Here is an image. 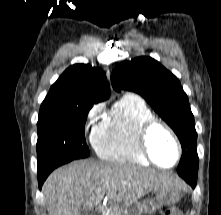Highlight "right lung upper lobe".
Instances as JSON below:
<instances>
[{
    "instance_id": "cb5924a9",
    "label": "right lung upper lobe",
    "mask_w": 221,
    "mask_h": 215,
    "mask_svg": "<svg viewBox=\"0 0 221 215\" xmlns=\"http://www.w3.org/2000/svg\"><path fill=\"white\" fill-rule=\"evenodd\" d=\"M109 93V84L102 69L89 64H75L51 86L42 104H94L108 99Z\"/></svg>"
}]
</instances>
